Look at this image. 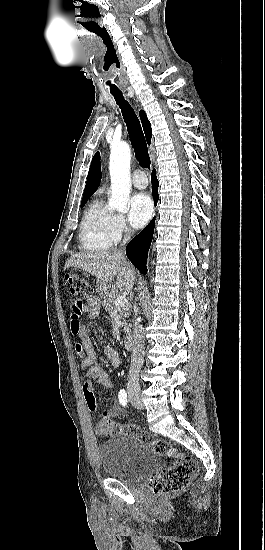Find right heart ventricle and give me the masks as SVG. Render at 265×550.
Returning a JSON list of instances; mask_svg holds the SVG:
<instances>
[{
  "instance_id": "right-heart-ventricle-1",
  "label": "right heart ventricle",
  "mask_w": 265,
  "mask_h": 550,
  "mask_svg": "<svg viewBox=\"0 0 265 550\" xmlns=\"http://www.w3.org/2000/svg\"><path fill=\"white\" fill-rule=\"evenodd\" d=\"M115 214L100 198L86 209L79 230L80 246L84 250L107 251L116 241L113 222Z\"/></svg>"
}]
</instances>
